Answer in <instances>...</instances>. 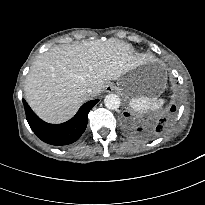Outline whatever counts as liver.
<instances>
[{"label":"liver","instance_id":"obj_1","mask_svg":"<svg viewBox=\"0 0 205 205\" xmlns=\"http://www.w3.org/2000/svg\"><path fill=\"white\" fill-rule=\"evenodd\" d=\"M140 63L131 45L114 38L55 46L37 56L30 67L25 97L40 118L61 123L97 96L106 82L119 80Z\"/></svg>","mask_w":205,"mask_h":205}]
</instances>
